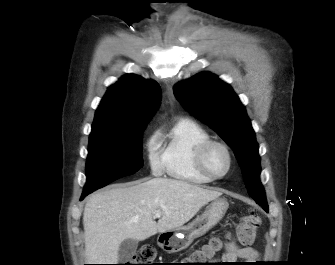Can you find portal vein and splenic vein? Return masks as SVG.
Listing matches in <instances>:
<instances>
[{
	"label": "portal vein and splenic vein",
	"instance_id": "obj_1",
	"mask_svg": "<svg viewBox=\"0 0 335 265\" xmlns=\"http://www.w3.org/2000/svg\"><path fill=\"white\" fill-rule=\"evenodd\" d=\"M161 216V212L157 211L155 214H154V218H160Z\"/></svg>",
	"mask_w": 335,
	"mask_h": 265
}]
</instances>
